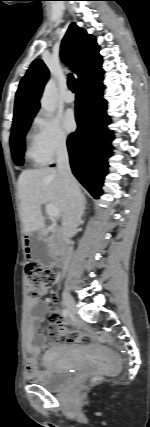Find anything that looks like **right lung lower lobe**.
<instances>
[{
	"label": "right lung lower lobe",
	"instance_id": "1",
	"mask_svg": "<svg viewBox=\"0 0 150 427\" xmlns=\"http://www.w3.org/2000/svg\"><path fill=\"white\" fill-rule=\"evenodd\" d=\"M104 72L78 87L76 99L77 131L70 134L67 146L73 174L95 198L107 174V159L111 155L112 131L107 129L110 118L103 99Z\"/></svg>",
	"mask_w": 150,
	"mask_h": 427
}]
</instances>
